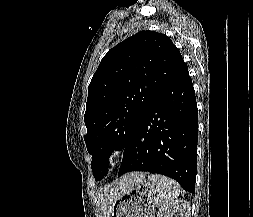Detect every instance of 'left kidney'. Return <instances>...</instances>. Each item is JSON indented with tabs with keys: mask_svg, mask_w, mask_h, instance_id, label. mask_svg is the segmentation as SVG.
Instances as JSON below:
<instances>
[{
	"mask_svg": "<svg viewBox=\"0 0 253 217\" xmlns=\"http://www.w3.org/2000/svg\"><path fill=\"white\" fill-rule=\"evenodd\" d=\"M190 206L186 201L176 200L160 210L158 217H190Z\"/></svg>",
	"mask_w": 253,
	"mask_h": 217,
	"instance_id": "left-kidney-1",
	"label": "left kidney"
}]
</instances>
